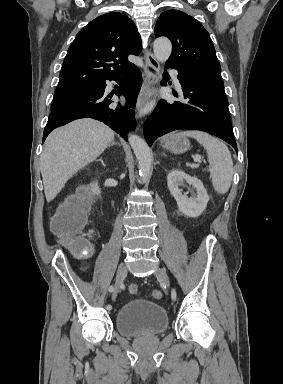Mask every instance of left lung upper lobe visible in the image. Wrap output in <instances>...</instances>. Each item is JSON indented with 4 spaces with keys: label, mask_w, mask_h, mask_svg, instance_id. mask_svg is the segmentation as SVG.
<instances>
[{
    "label": "left lung upper lobe",
    "mask_w": 283,
    "mask_h": 384,
    "mask_svg": "<svg viewBox=\"0 0 283 384\" xmlns=\"http://www.w3.org/2000/svg\"><path fill=\"white\" fill-rule=\"evenodd\" d=\"M155 36H166L172 42L168 67L191 77L223 83L213 42L198 20L179 10L165 11L158 18Z\"/></svg>",
    "instance_id": "obj_1"
}]
</instances>
